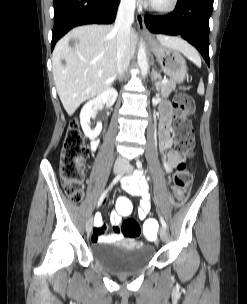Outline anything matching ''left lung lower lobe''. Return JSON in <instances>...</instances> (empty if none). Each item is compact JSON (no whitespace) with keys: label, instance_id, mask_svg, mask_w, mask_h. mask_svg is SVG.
<instances>
[{"label":"left lung lower lobe","instance_id":"obj_1","mask_svg":"<svg viewBox=\"0 0 247 304\" xmlns=\"http://www.w3.org/2000/svg\"><path fill=\"white\" fill-rule=\"evenodd\" d=\"M214 0H178L175 10L166 16H145L153 33L180 35L194 45L206 63L209 58V18Z\"/></svg>","mask_w":247,"mask_h":304}]
</instances>
